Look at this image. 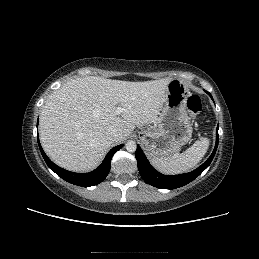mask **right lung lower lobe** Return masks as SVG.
Returning a JSON list of instances; mask_svg holds the SVG:
<instances>
[{
  "label": "right lung lower lobe",
  "instance_id": "1",
  "mask_svg": "<svg viewBox=\"0 0 259 259\" xmlns=\"http://www.w3.org/2000/svg\"><path fill=\"white\" fill-rule=\"evenodd\" d=\"M38 145L46 164L52 171H54L58 176H60L65 181L82 187H89V186H93L101 183L107 177L110 171L111 159L114 153L119 149H121L123 146L122 144L112 148L106 155L101 165L94 171L89 173H74V172H70L65 169H62L57 165H55L44 153L40 145L39 138H38Z\"/></svg>",
  "mask_w": 259,
  "mask_h": 259
}]
</instances>
